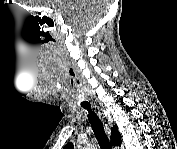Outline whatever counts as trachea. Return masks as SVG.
I'll return each mask as SVG.
<instances>
[{"label":"trachea","mask_w":177,"mask_h":149,"mask_svg":"<svg viewBox=\"0 0 177 149\" xmlns=\"http://www.w3.org/2000/svg\"><path fill=\"white\" fill-rule=\"evenodd\" d=\"M81 107L88 111V120L94 131L101 149H111L109 140L105 134L103 124L96 113L92 110L91 105L87 102H82Z\"/></svg>","instance_id":"obj_1"}]
</instances>
